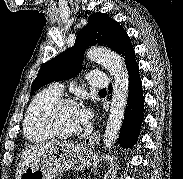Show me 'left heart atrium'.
Instances as JSON below:
<instances>
[{
	"mask_svg": "<svg viewBox=\"0 0 183 179\" xmlns=\"http://www.w3.org/2000/svg\"><path fill=\"white\" fill-rule=\"evenodd\" d=\"M79 115H80V122L81 125H85L91 118V111L87 107H79Z\"/></svg>",
	"mask_w": 183,
	"mask_h": 179,
	"instance_id": "39dd6f15",
	"label": "left heart atrium"
}]
</instances>
